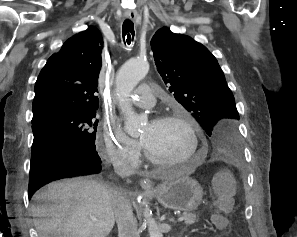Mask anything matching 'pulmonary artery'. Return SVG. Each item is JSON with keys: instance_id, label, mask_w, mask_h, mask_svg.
<instances>
[{"instance_id": "pulmonary-artery-1", "label": "pulmonary artery", "mask_w": 297, "mask_h": 237, "mask_svg": "<svg viewBox=\"0 0 297 237\" xmlns=\"http://www.w3.org/2000/svg\"><path fill=\"white\" fill-rule=\"evenodd\" d=\"M155 90L149 84L140 85L132 95L131 102L137 106L150 107L155 102Z\"/></svg>"}]
</instances>
